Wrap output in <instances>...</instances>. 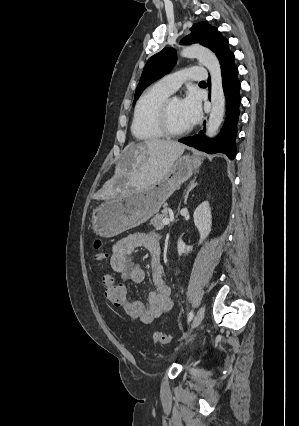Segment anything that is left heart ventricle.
I'll return each instance as SVG.
<instances>
[{
	"label": "left heart ventricle",
	"instance_id": "obj_1",
	"mask_svg": "<svg viewBox=\"0 0 299 426\" xmlns=\"http://www.w3.org/2000/svg\"><path fill=\"white\" fill-rule=\"evenodd\" d=\"M169 123L170 126L176 130L189 126L183 112L182 101L179 99H175L171 103L169 110Z\"/></svg>",
	"mask_w": 299,
	"mask_h": 426
}]
</instances>
